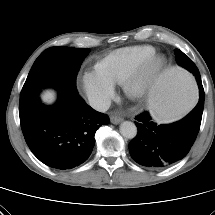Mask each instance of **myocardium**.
Returning <instances> with one entry per match:
<instances>
[{
	"label": "myocardium",
	"mask_w": 215,
	"mask_h": 215,
	"mask_svg": "<svg viewBox=\"0 0 215 215\" xmlns=\"http://www.w3.org/2000/svg\"><path fill=\"white\" fill-rule=\"evenodd\" d=\"M165 67V60L153 55L134 67L121 83L127 98L139 101L148 96Z\"/></svg>",
	"instance_id": "f54148a6"
}]
</instances>
